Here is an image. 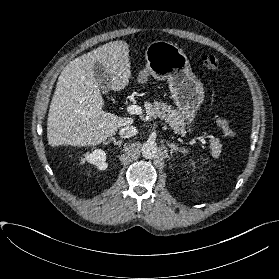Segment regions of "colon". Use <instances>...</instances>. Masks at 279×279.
Wrapping results in <instances>:
<instances>
[{
    "label": "colon",
    "mask_w": 279,
    "mask_h": 279,
    "mask_svg": "<svg viewBox=\"0 0 279 279\" xmlns=\"http://www.w3.org/2000/svg\"><path fill=\"white\" fill-rule=\"evenodd\" d=\"M200 70L204 73L217 74L219 71L218 60L210 54L202 55ZM216 123L226 137L232 138L235 136V130L221 113L216 115Z\"/></svg>",
    "instance_id": "5ec220e1"
}]
</instances>
